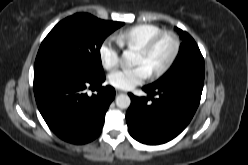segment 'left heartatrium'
<instances>
[{
    "instance_id": "obj_1",
    "label": "left heart atrium",
    "mask_w": 248,
    "mask_h": 165,
    "mask_svg": "<svg viewBox=\"0 0 248 165\" xmlns=\"http://www.w3.org/2000/svg\"><path fill=\"white\" fill-rule=\"evenodd\" d=\"M151 76L145 65H137L133 68L119 69L109 75V82L119 89H132L142 84Z\"/></svg>"
}]
</instances>
